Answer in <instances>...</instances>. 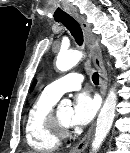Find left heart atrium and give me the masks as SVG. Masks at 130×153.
<instances>
[{
  "instance_id": "left-heart-atrium-1",
  "label": "left heart atrium",
  "mask_w": 130,
  "mask_h": 153,
  "mask_svg": "<svg viewBox=\"0 0 130 153\" xmlns=\"http://www.w3.org/2000/svg\"><path fill=\"white\" fill-rule=\"evenodd\" d=\"M99 106V99L89 92H82L76 95L71 112L70 124H88L95 117Z\"/></svg>"
}]
</instances>
